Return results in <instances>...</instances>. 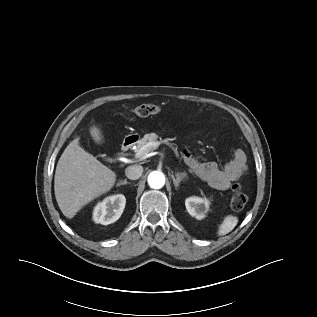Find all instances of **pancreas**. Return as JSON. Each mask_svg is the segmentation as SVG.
<instances>
[{"mask_svg":"<svg viewBox=\"0 0 317 317\" xmlns=\"http://www.w3.org/2000/svg\"><path fill=\"white\" fill-rule=\"evenodd\" d=\"M158 135L156 133L145 134L144 137L138 142L136 148V154L140 151L142 147H144L149 142H156ZM155 150L153 147L147 148L144 153H149L150 151Z\"/></svg>","mask_w":317,"mask_h":317,"instance_id":"1","label":"pancreas"}]
</instances>
